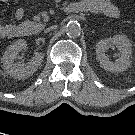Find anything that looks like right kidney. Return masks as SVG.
<instances>
[{
  "label": "right kidney",
  "instance_id": "1",
  "mask_svg": "<svg viewBox=\"0 0 135 135\" xmlns=\"http://www.w3.org/2000/svg\"><path fill=\"white\" fill-rule=\"evenodd\" d=\"M26 46V41L19 39L7 48L1 59L4 71L13 78L24 79L31 76L43 61L44 54L35 53L27 64L15 62L18 53L25 50Z\"/></svg>",
  "mask_w": 135,
  "mask_h": 135
}]
</instances>
